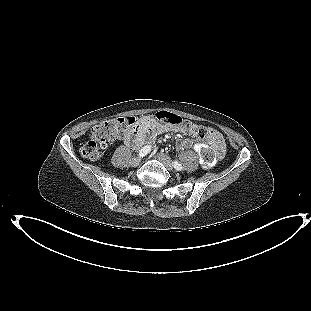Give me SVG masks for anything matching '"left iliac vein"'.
I'll return each mask as SVG.
<instances>
[{
    "label": "left iliac vein",
    "instance_id": "4c4485c4",
    "mask_svg": "<svg viewBox=\"0 0 311 311\" xmlns=\"http://www.w3.org/2000/svg\"><path fill=\"white\" fill-rule=\"evenodd\" d=\"M157 158L160 162L163 163V165L169 170L172 171L173 170V163L170 159V157H168L165 154L159 153L157 154Z\"/></svg>",
    "mask_w": 311,
    "mask_h": 311
}]
</instances>
